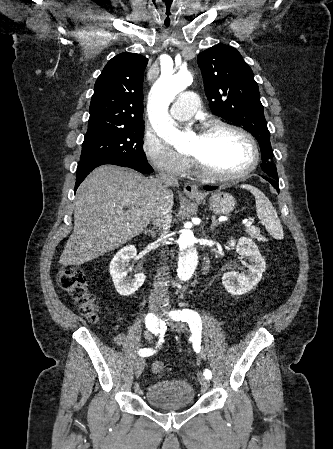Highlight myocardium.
I'll return each instance as SVG.
<instances>
[{"label": "myocardium", "instance_id": "myocardium-1", "mask_svg": "<svg viewBox=\"0 0 333 449\" xmlns=\"http://www.w3.org/2000/svg\"><path fill=\"white\" fill-rule=\"evenodd\" d=\"M218 130L232 131L234 133L239 134L244 139H246L247 142L249 143L251 151H252V160L246 168H244L238 172L231 173V174H216V173L210 171L199 158H197L194 155H190V158H191L197 172L203 178H205L211 182H218V183L238 180L240 178L247 176L251 172H253L259 163L260 153H259L257 142H256L255 138L252 136V134L237 125L227 123L224 121H212V122L204 123L203 126L201 127L200 134H209L211 132L218 131Z\"/></svg>", "mask_w": 333, "mask_h": 449}]
</instances>
